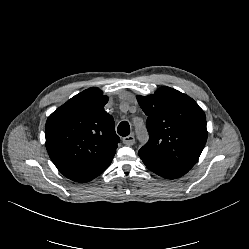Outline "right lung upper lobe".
Segmentation results:
<instances>
[{
    "instance_id": "obj_1",
    "label": "right lung upper lobe",
    "mask_w": 249,
    "mask_h": 249,
    "mask_svg": "<svg viewBox=\"0 0 249 249\" xmlns=\"http://www.w3.org/2000/svg\"><path fill=\"white\" fill-rule=\"evenodd\" d=\"M108 97L89 88L56 109L45 126L46 148L57 169L76 182H88L111 163L120 138L104 110Z\"/></svg>"
}]
</instances>
